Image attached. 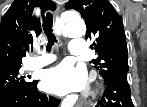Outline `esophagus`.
Listing matches in <instances>:
<instances>
[{
  "label": "esophagus",
  "mask_w": 147,
  "mask_h": 107,
  "mask_svg": "<svg viewBox=\"0 0 147 107\" xmlns=\"http://www.w3.org/2000/svg\"><path fill=\"white\" fill-rule=\"evenodd\" d=\"M60 12H61L60 6H57V8L55 10V18L59 17ZM91 105H92V103H91Z\"/></svg>",
  "instance_id": "34e87169"
}]
</instances>
